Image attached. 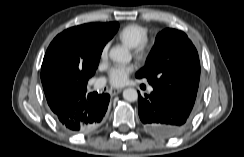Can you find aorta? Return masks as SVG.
Returning a JSON list of instances; mask_svg holds the SVG:
<instances>
[{"instance_id": "aorta-1", "label": "aorta", "mask_w": 244, "mask_h": 157, "mask_svg": "<svg viewBox=\"0 0 244 157\" xmlns=\"http://www.w3.org/2000/svg\"><path fill=\"white\" fill-rule=\"evenodd\" d=\"M109 56L113 61L127 63L131 60V55L126 48L115 46L111 48ZM123 98L129 102H134L138 99L137 90L134 88H127L123 91Z\"/></svg>"}]
</instances>
